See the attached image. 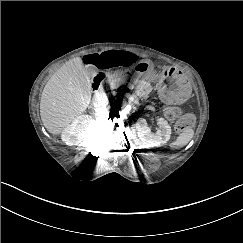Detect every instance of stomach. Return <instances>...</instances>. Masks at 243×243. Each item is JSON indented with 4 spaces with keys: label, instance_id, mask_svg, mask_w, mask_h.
Listing matches in <instances>:
<instances>
[{
    "label": "stomach",
    "instance_id": "0dacf381",
    "mask_svg": "<svg viewBox=\"0 0 243 243\" xmlns=\"http://www.w3.org/2000/svg\"><path fill=\"white\" fill-rule=\"evenodd\" d=\"M134 69L139 78L155 84L159 97L167 104H181L191 95L188 78L175 68L166 67L155 71L150 61H141Z\"/></svg>",
    "mask_w": 243,
    "mask_h": 243
}]
</instances>
